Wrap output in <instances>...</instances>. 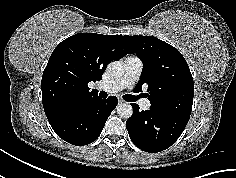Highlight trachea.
<instances>
[{"label":"trachea","mask_w":236,"mask_h":178,"mask_svg":"<svg viewBox=\"0 0 236 178\" xmlns=\"http://www.w3.org/2000/svg\"><path fill=\"white\" fill-rule=\"evenodd\" d=\"M100 96L105 98L107 96V94L104 91H101ZM123 98L128 102H134L136 100L135 97H133L132 95H129V94L124 95Z\"/></svg>","instance_id":"3493384b"}]
</instances>
